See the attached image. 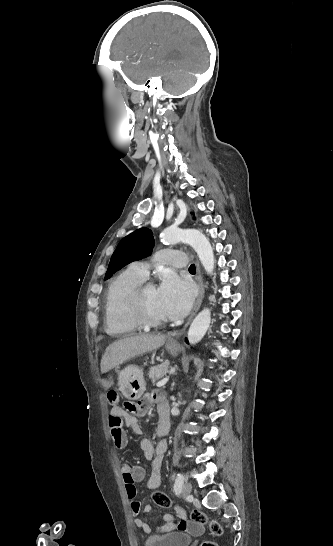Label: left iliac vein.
<instances>
[{"mask_svg":"<svg viewBox=\"0 0 333 546\" xmlns=\"http://www.w3.org/2000/svg\"><path fill=\"white\" fill-rule=\"evenodd\" d=\"M191 491H192V485H191V483L186 482V483L184 484L183 488H182V491H181L182 496H183V497L189 496V495L191 494Z\"/></svg>","mask_w":333,"mask_h":546,"instance_id":"4c4485c4","label":"left iliac vein"}]
</instances>
